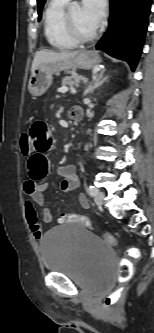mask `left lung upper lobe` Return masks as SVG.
<instances>
[{"label":"left lung upper lobe","instance_id":"obj_1","mask_svg":"<svg viewBox=\"0 0 154 333\" xmlns=\"http://www.w3.org/2000/svg\"><path fill=\"white\" fill-rule=\"evenodd\" d=\"M45 1L46 0H37L39 19L41 18V12H42V8L44 6Z\"/></svg>","mask_w":154,"mask_h":333}]
</instances>
